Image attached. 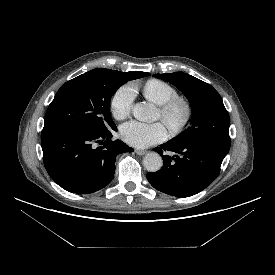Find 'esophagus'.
Instances as JSON below:
<instances>
[{"instance_id":"esophagus-1","label":"esophagus","mask_w":275,"mask_h":275,"mask_svg":"<svg viewBox=\"0 0 275 275\" xmlns=\"http://www.w3.org/2000/svg\"><path fill=\"white\" fill-rule=\"evenodd\" d=\"M135 153H136L137 155H140V156H142V155L146 154V151H144V150H139V149H136V150H135Z\"/></svg>"}]
</instances>
